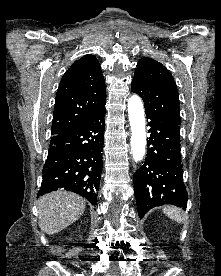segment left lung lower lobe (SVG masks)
Here are the masks:
<instances>
[{"instance_id":"1","label":"left lung lower lobe","mask_w":221,"mask_h":276,"mask_svg":"<svg viewBox=\"0 0 221 276\" xmlns=\"http://www.w3.org/2000/svg\"><path fill=\"white\" fill-rule=\"evenodd\" d=\"M150 137L142 167L134 173V194L138 215L155 206L172 204L187 206L180 154V126L158 121L147 115Z\"/></svg>"}]
</instances>
